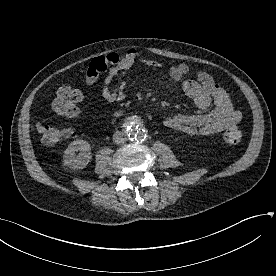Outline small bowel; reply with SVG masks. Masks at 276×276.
<instances>
[{
    "label": "small bowel",
    "mask_w": 276,
    "mask_h": 276,
    "mask_svg": "<svg viewBox=\"0 0 276 276\" xmlns=\"http://www.w3.org/2000/svg\"><path fill=\"white\" fill-rule=\"evenodd\" d=\"M136 62L149 67H159L160 62L142 57L131 48L123 54L109 53L93 58L81 69L87 87H93L101 73L106 72L102 81L101 95L108 102H119L125 97L128 74ZM171 78L181 83L183 92L191 98L201 110L214 108L204 114H176L164 120L170 129L188 134L208 136L219 133L242 119L240 111L234 109L225 89L215 82L213 77L200 71L196 79H184L189 73L188 65L181 63L170 68ZM116 84L113 86L114 81Z\"/></svg>",
    "instance_id": "small-bowel-1"
}]
</instances>
